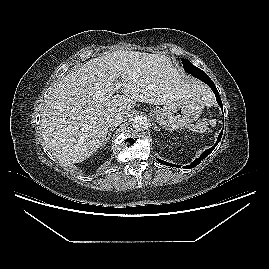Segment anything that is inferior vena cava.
I'll return each mask as SVG.
<instances>
[{
  "label": "inferior vena cava",
  "instance_id": "1",
  "mask_svg": "<svg viewBox=\"0 0 269 269\" xmlns=\"http://www.w3.org/2000/svg\"><path fill=\"white\" fill-rule=\"evenodd\" d=\"M123 116H124L123 112H111L107 116L106 122L109 127H117L118 125L122 123Z\"/></svg>",
  "mask_w": 269,
  "mask_h": 269
}]
</instances>
